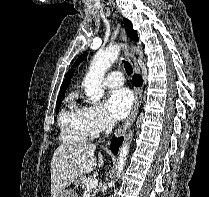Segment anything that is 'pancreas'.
Listing matches in <instances>:
<instances>
[{"mask_svg": "<svg viewBox=\"0 0 209 197\" xmlns=\"http://www.w3.org/2000/svg\"><path fill=\"white\" fill-rule=\"evenodd\" d=\"M91 179H94L93 176H81L78 180L75 181V186H80L82 187L83 189L86 188V184L91 180ZM98 193V189L95 188L94 189V193H93V196H95L96 194Z\"/></svg>", "mask_w": 209, "mask_h": 197, "instance_id": "cf45deb5", "label": "pancreas"}]
</instances>
